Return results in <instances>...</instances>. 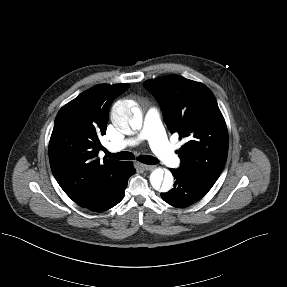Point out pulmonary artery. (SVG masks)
Masks as SVG:
<instances>
[{
    "label": "pulmonary artery",
    "instance_id": "obj_1",
    "mask_svg": "<svg viewBox=\"0 0 287 287\" xmlns=\"http://www.w3.org/2000/svg\"><path fill=\"white\" fill-rule=\"evenodd\" d=\"M141 140L149 141L153 152L165 165L169 167L179 165L180 159L165 136L159 112L155 108H150L146 113L143 128L137 137L110 143L108 148L116 152L134 146Z\"/></svg>",
    "mask_w": 287,
    "mask_h": 287
}]
</instances>
